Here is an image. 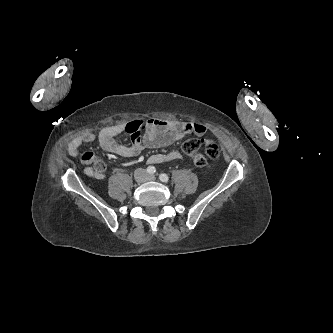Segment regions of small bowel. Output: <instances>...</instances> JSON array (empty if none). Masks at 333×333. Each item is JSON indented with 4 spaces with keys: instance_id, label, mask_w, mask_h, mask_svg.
Here are the masks:
<instances>
[{
    "instance_id": "small-bowel-1",
    "label": "small bowel",
    "mask_w": 333,
    "mask_h": 333,
    "mask_svg": "<svg viewBox=\"0 0 333 333\" xmlns=\"http://www.w3.org/2000/svg\"><path fill=\"white\" fill-rule=\"evenodd\" d=\"M124 132L131 135V145L119 144L116 141V136ZM191 132L204 136L207 133V129L202 124L180 120L152 118L144 121L136 119L123 124L107 126L97 136L93 132H86L70 142L68 153L73 157L78 156L83 145L91 144L97 140L104 150L120 157L128 158L137 156L143 148L153 149L169 145ZM210 143H212L210 138L205 139L206 145ZM181 158L182 155L179 151L172 150L164 154L150 156L149 162L160 164ZM81 161L85 164L87 176L98 180L104 178V166L101 162L96 161L93 153L85 152L81 156Z\"/></svg>"
}]
</instances>
